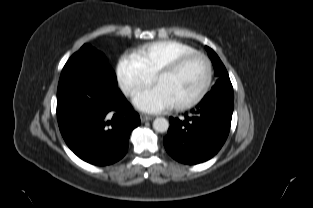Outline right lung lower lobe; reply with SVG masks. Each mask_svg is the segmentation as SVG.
<instances>
[{"label": "right lung lower lobe", "mask_w": 313, "mask_h": 208, "mask_svg": "<svg viewBox=\"0 0 313 208\" xmlns=\"http://www.w3.org/2000/svg\"><path fill=\"white\" fill-rule=\"evenodd\" d=\"M57 118L68 147L93 165L120 160L131 131L140 125L139 115L117 88L114 71L88 53H80L62 70Z\"/></svg>", "instance_id": "right-lung-lower-lobe-1"}]
</instances>
